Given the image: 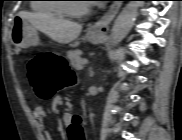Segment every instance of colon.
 <instances>
[{
  "label": "colon",
  "mask_w": 182,
  "mask_h": 140,
  "mask_svg": "<svg viewBox=\"0 0 182 140\" xmlns=\"http://www.w3.org/2000/svg\"><path fill=\"white\" fill-rule=\"evenodd\" d=\"M29 80L41 99L51 98L57 91L73 84L74 76L66 61L56 56H36L28 64ZM68 140H86L85 120L79 113L70 117Z\"/></svg>",
  "instance_id": "5ec220e1"
}]
</instances>
